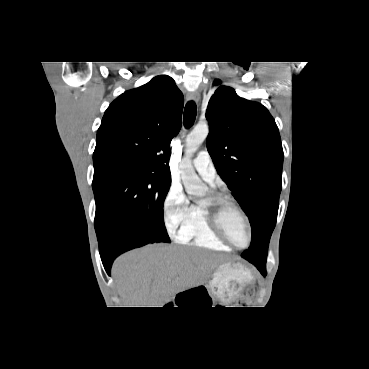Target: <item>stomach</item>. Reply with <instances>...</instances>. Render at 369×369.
Returning a JSON list of instances; mask_svg holds the SVG:
<instances>
[{
    "instance_id": "stomach-1",
    "label": "stomach",
    "mask_w": 369,
    "mask_h": 369,
    "mask_svg": "<svg viewBox=\"0 0 369 369\" xmlns=\"http://www.w3.org/2000/svg\"><path fill=\"white\" fill-rule=\"evenodd\" d=\"M251 273L239 263L220 264L212 274L207 289L212 296L230 302L251 282Z\"/></svg>"
}]
</instances>
